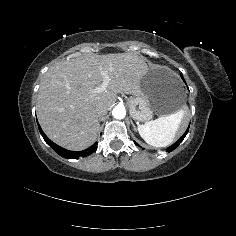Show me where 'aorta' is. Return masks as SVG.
Returning a JSON list of instances; mask_svg holds the SVG:
<instances>
[{
	"instance_id": "obj_1",
	"label": "aorta",
	"mask_w": 236,
	"mask_h": 236,
	"mask_svg": "<svg viewBox=\"0 0 236 236\" xmlns=\"http://www.w3.org/2000/svg\"><path fill=\"white\" fill-rule=\"evenodd\" d=\"M112 115L115 119H123L126 115L124 107H115L112 111Z\"/></svg>"
}]
</instances>
